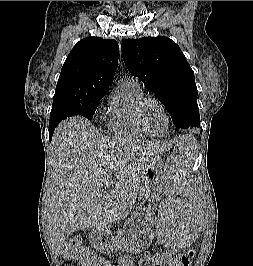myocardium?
<instances>
[{
  "mask_svg": "<svg viewBox=\"0 0 253 266\" xmlns=\"http://www.w3.org/2000/svg\"><path fill=\"white\" fill-rule=\"evenodd\" d=\"M148 102H154L157 105L160 106V108L163 110L166 120H167V127L165 129V131L161 134H155L152 133L151 131H149L145 125L142 122V110L143 107L148 103ZM134 117H135V121L137 126L139 127V129L147 136L150 137H164L170 130L171 127V120H170V116L168 113V110L166 108V106L157 98L155 97H151V96H144L142 97L136 104L135 106V110H134Z\"/></svg>",
  "mask_w": 253,
  "mask_h": 266,
  "instance_id": "f54148a6",
  "label": "myocardium"
}]
</instances>
